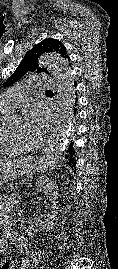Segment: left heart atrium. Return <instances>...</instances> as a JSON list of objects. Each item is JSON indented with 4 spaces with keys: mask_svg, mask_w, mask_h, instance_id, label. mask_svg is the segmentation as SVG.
Wrapping results in <instances>:
<instances>
[{
    "mask_svg": "<svg viewBox=\"0 0 118 269\" xmlns=\"http://www.w3.org/2000/svg\"><path fill=\"white\" fill-rule=\"evenodd\" d=\"M24 122L26 134L33 139H40L49 130L50 111L42 102H30L26 105Z\"/></svg>",
    "mask_w": 118,
    "mask_h": 269,
    "instance_id": "obj_1",
    "label": "left heart atrium"
}]
</instances>
